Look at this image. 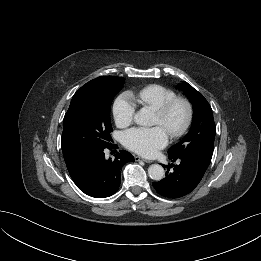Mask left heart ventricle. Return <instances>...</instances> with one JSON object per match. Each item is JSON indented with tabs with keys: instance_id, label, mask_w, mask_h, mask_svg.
I'll list each match as a JSON object with an SVG mask.
<instances>
[{
	"instance_id": "left-heart-ventricle-1",
	"label": "left heart ventricle",
	"mask_w": 261,
	"mask_h": 261,
	"mask_svg": "<svg viewBox=\"0 0 261 261\" xmlns=\"http://www.w3.org/2000/svg\"><path fill=\"white\" fill-rule=\"evenodd\" d=\"M184 111L181 106L176 107L171 113L170 117L166 122H163L157 114L154 117V125H159L163 127L166 132H169L170 129L179 126L183 120Z\"/></svg>"
}]
</instances>
